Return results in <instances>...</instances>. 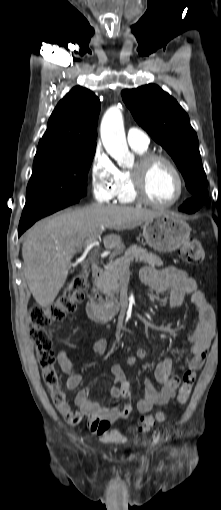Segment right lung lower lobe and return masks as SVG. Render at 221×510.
Wrapping results in <instances>:
<instances>
[{
  "label": "right lung lower lobe",
  "mask_w": 221,
  "mask_h": 510,
  "mask_svg": "<svg viewBox=\"0 0 221 510\" xmlns=\"http://www.w3.org/2000/svg\"><path fill=\"white\" fill-rule=\"evenodd\" d=\"M60 209H63V208L47 210L46 208L41 209L39 207V204H37V203L31 204V205L25 204V207L23 209V213L21 216V220L19 223L18 236H21V234L25 230H27L31 225H33L38 219L45 217L49 214H52L53 212H56Z\"/></svg>",
  "instance_id": "right-lung-lower-lobe-1"
}]
</instances>
